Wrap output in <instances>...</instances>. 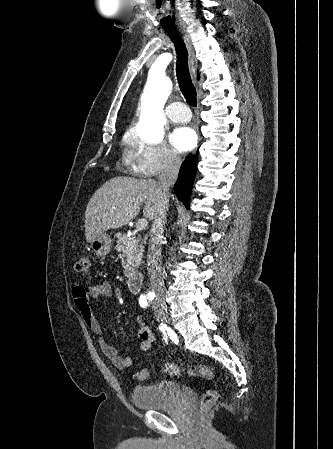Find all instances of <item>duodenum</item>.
<instances>
[{
    "mask_svg": "<svg viewBox=\"0 0 333 449\" xmlns=\"http://www.w3.org/2000/svg\"><path fill=\"white\" fill-rule=\"evenodd\" d=\"M143 282V275L141 273H131L126 281L128 291L131 293H138L141 290Z\"/></svg>",
    "mask_w": 333,
    "mask_h": 449,
    "instance_id": "duodenum-1",
    "label": "duodenum"
}]
</instances>
